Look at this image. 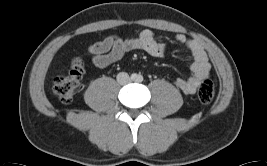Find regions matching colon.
I'll list each match as a JSON object with an SVG mask.
<instances>
[{
	"label": "colon",
	"mask_w": 267,
	"mask_h": 166,
	"mask_svg": "<svg viewBox=\"0 0 267 166\" xmlns=\"http://www.w3.org/2000/svg\"><path fill=\"white\" fill-rule=\"evenodd\" d=\"M85 72V63L80 58L71 61L68 71L54 79L53 92L65 104L72 101L77 92L81 78ZM215 95L214 83L209 77H204L198 88V98L203 104H210Z\"/></svg>",
	"instance_id": "colon-1"
}]
</instances>
